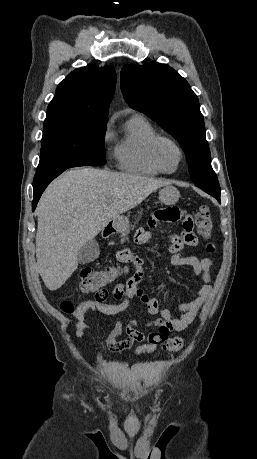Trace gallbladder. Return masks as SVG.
<instances>
[{
  "instance_id": "bac80fb5",
  "label": "gallbladder",
  "mask_w": 257,
  "mask_h": 459,
  "mask_svg": "<svg viewBox=\"0 0 257 459\" xmlns=\"http://www.w3.org/2000/svg\"><path fill=\"white\" fill-rule=\"evenodd\" d=\"M100 254L99 245L95 239L86 242L79 250L78 261L81 264L89 263L98 258Z\"/></svg>"
}]
</instances>
